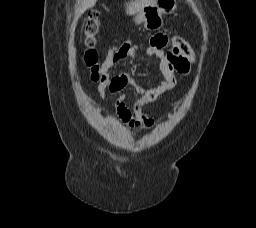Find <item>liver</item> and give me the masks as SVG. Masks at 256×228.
<instances>
[{
    "mask_svg": "<svg viewBox=\"0 0 256 228\" xmlns=\"http://www.w3.org/2000/svg\"><path fill=\"white\" fill-rule=\"evenodd\" d=\"M153 0H131L126 4V12L129 15L137 14L142 8L152 3ZM97 0H81L79 7L75 11L74 21L88 9L93 8Z\"/></svg>",
    "mask_w": 256,
    "mask_h": 228,
    "instance_id": "6515ba94",
    "label": "liver"
}]
</instances>
